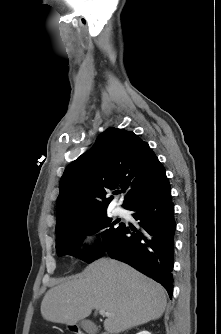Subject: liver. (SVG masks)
Segmentation results:
<instances>
[{
	"mask_svg": "<svg viewBox=\"0 0 221 334\" xmlns=\"http://www.w3.org/2000/svg\"><path fill=\"white\" fill-rule=\"evenodd\" d=\"M163 287L131 266L101 258L84 271L51 288L41 303L42 317L51 322L74 325L93 309H104L107 334L159 319L166 308Z\"/></svg>",
	"mask_w": 221,
	"mask_h": 334,
	"instance_id": "liver-1",
	"label": "liver"
}]
</instances>
